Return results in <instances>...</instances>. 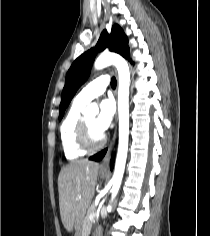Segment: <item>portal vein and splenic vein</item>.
Instances as JSON below:
<instances>
[{
    "label": "portal vein and splenic vein",
    "instance_id": "portal-vein-and-splenic-vein-1",
    "mask_svg": "<svg viewBox=\"0 0 210 236\" xmlns=\"http://www.w3.org/2000/svg\"><path fill=\"white\" fill-rule=\"evenodd\" d=\"M80 198H81V196H78V197H77V199H80ZM95 217H96V214H95V213L90 214V216H89V218H90L91 220H93Z\"/></svg>",
    "mask_w": 210,
    "mask_h": 236
}]
</instances>
